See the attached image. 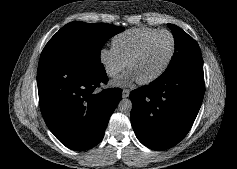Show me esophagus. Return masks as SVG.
<instances>
[{
  "label": "esophagus",
  "mask_w": 237,
  "mask_h": 169,
  "mask_svg": "<svg viewBox=\"0 0 237 169\" xmlns=\"http://www.w3.org/2000/svg\"><path fill=\"white\" fill-rule=\"evenodd\" d=\"M129 94H130V90H128V89H124L122 91V97L123 98H127L129 96Z\"/></svg>",
  "instance_id": "34e87169"
}]
</instances>
